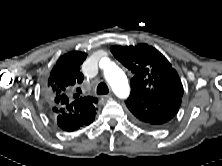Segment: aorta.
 <instances>
[{"label":"aorta","mask_w":222,"mask_h":166,"mask_svg":"<svg viewBox=\"0 0 222 166\" xmlns=\"http://www.w3.org/2000/svg\"><path fill=\"white\" fill-rule=\"evenodd\" d=\"M102 60L100 63L102 64ZM104 76L106 81L109 83L114 93L120 98H127L130 93V87L128 84L125 73L116 66L115 63L106 60L104 67Z\"/></svg>","instance_id":"1"}]
</instances>
